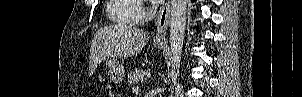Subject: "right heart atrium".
<instances>
[{
    "instance_id": "1",
    "label": "right heart atrium",
    "mask_w": 302,
    "mask_h": 97,
    "mask_svg": "<svg viewBox=\"0 0 302 97\" xmlns=\"http://www.w3.org/2000/svg\"><path fill=\"white\" fill-rule=\"evenodd\" d=\"M147 14H146V10L141 7L139 9V21H143L146 18Z\"/></svg>"
}]
</instances>
